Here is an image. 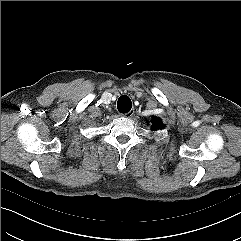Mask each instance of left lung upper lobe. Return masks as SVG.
Here are the masks:
<instances>
[{"label": "left lung upper lobe", "mask_w": 241, "mask_h": 241, "mask_svg": "<svg viewBox=\"0 0 241 241\" xmlns=\"http://www.w3.org/2000/svg\"><path fill=\"white\" fill-rule=\"evenodd\" d=\"M163 123L161 122V119L157 118V117H152V131L156 130V129H161L163 128Z\"/></svg>", "instance_id": "obj_1"}]
</instances>
